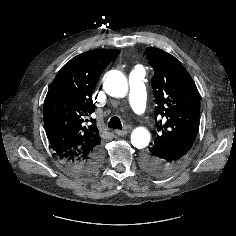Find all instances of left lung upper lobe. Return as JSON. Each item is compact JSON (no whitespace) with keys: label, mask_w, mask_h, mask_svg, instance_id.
Here are the masks:
<instances>
[{"label":"left lung upper lobe","mask_w":236,"mask_h":236,"mask_svg":"<svg viewBox=\"0 0 236 236\" xmlns=\"http://www.w3.org/2000/svg\"><path fill=\"white\" fill-rule=\"evenodd\" d=\"M146 55L154 68L152 89L155 113L163 117L156 124L161 133L157 135L153 146L190 149L200 117L197 87L184 66L171 54L149 47Z\"/></svg>","instance_id":"obj_1"}]
</instances>
